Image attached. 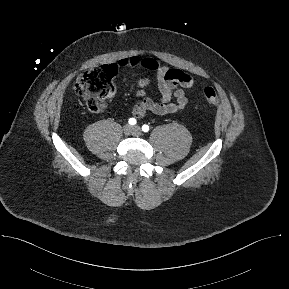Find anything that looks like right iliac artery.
Returning a JSON list of instances; mask_svg holds the SVG:
<instances>
[{
  "label": "right iliac artery",
  "instance_id": "1",
  "mask_svg": "<svg viewBox=\"0 0 289 289\" xmlns=\"http://www.w3.org/2000/svg\"><path fill=\"white\" fill-rule=\"evenodd\" d=\"M128 122H129L130 125H135L136 124V119L135 118H130Z\"/></svg>",
  "mask_w": 289,
  "mask_h": 289
}]
</instances>
